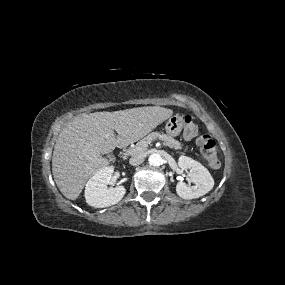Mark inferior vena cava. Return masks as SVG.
<instances>
[{
  "instance_id": "1",
  "label": "inferior vena cava",
  "mask_w": 285,
  "mask_h": 285,
  "mask_svg": "<svg viewBox=\"0 0 285 285\" xmlns=\"http://www.w3.org/2000/svg\"><path fill=\"white\" fill-rule=\"evenodd\" d=\"M143 161H144V158L142 155H135L130 158L129 163L132 166H137V165H140Z\"/></svg>"
}]
</instances>
